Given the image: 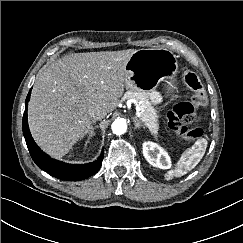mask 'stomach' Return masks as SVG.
Listing matches in <instances>:
<instances>
[{
    "label": "stomach",
    "mask_w": 243,
    "mask_h": 243,
    "mask_svg": "<svg viewBox=\"0 0 243 243\" xmlns=\"http://www.w3.org/2000/svg\"><path fill=\"white\" fill-rule=\"evenodd\" d=\"M177 71L178 63L172 51L165 48L139 49L126 64V86L148 92L167 79L170 80L168 91L173 92L176 86L172 81Z\"/></svg>",
    "instance_id": "stomach-1"
}]
</instances>
